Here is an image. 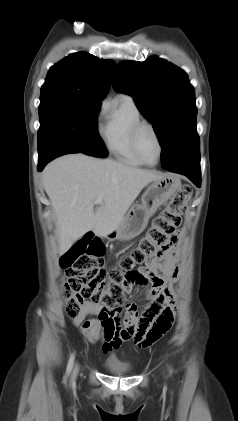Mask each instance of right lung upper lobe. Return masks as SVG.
<instances>
[{
  "mask_svg": "<svg viewBox=\"0 0 238 421\" xmlns=\"http://www.w3.org/2000/svg\"><path fill=\"white\" fill-rule=\"evenodd\" d=\"M116 68L113 60H103L82 51L70 54L51 67L41 91L78 93L103 99Z\"/></svg>",
  "mask_w": 238,
  "mask_h": 421,
  "instance_id": "1",
  "label": "right lung upper lobe"
}]
</instances>
